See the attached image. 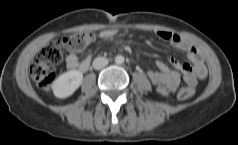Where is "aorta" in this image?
<instances>
[{
  "mask_svg": "<svg viewBox=\"0 0 238 145\" xmlns=\"http://www.w3.org/2000/svg\"><path fill=\"white\" fill-rule=\"evenodd\" d=\"M125 61L124 57L122 55H117L115 57V63L118 64V65H121L123 64Z\"/></svg>",
  "mask_w": 238,
  "mask_h": 145,
  "instance_id": "obj_1",
  "label": "aorta"
}]
</instances>
